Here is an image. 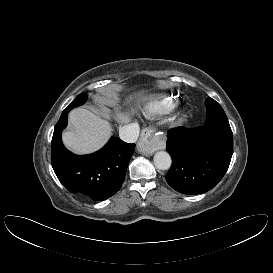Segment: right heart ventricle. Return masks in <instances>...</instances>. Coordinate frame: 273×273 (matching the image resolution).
Here are the masks:
<instances>
[{
    "mask_svg": "<svg viewBox=\"0 0 273 273\" xmlns=\"http://www.w3.org/2000/svg\"><path fill=\"white\" fill-rule=\"evenodd\" d=\"M174 108L172 97L162 96L148 103L144 107V114L149 118H155Z\"/></svg>",
    "mask_w": 273,
    "mask_h": 273,
    "instance_id": "right-heart-ventricle-1",
    "label": "right heart ventricle"
}]
</instances>
